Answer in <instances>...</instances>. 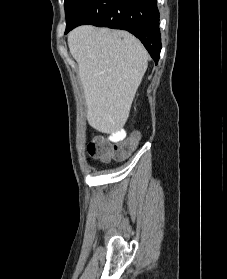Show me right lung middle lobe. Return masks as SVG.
Segmentation results:
<instances>
[{"label": "right lung middle lobe", "instance_id": "dd1d6c3e", "mask_svg": "<svg viewBox=\"0 0 227 279\" xmlns=\"http://www.w3.org/2000/svg\"><path fill=\"white\" fill-rule=\"evenodd\" d=\"M85 1L86 0H65L64 1L66 24H67L66 29H68L73 24L78 10L80 9L81 5Z\"/></svg>", "mask_w": 227, "mask_h": 279}]
</instances>
